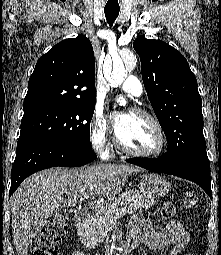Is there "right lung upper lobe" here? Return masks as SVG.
Listing matches in <instances>:
<instances>
[{
	"instance_id": "right-lung-upper-lobe-1",
	"label": "right lung upper lobe",
	"mask_w": 221,
	"mask_h": 255,
	"mask_svg": "<svg viewBox=\"0 0 221 255\" xmlns=\"http://www.w3.org/2000/svg\"><path fill=\"white\" fill-rule=\"evenodd\" d=\"M95 98L94 52L90 40L81 34L59 42L39 58L23 109L95 104Z\"/></svg>"
}]
</instances>
